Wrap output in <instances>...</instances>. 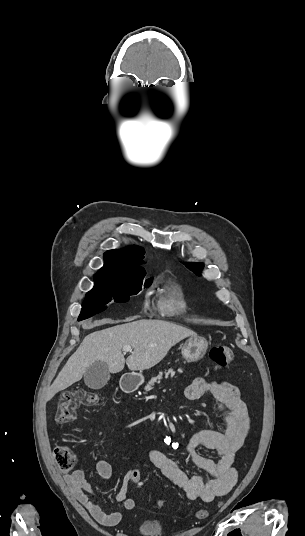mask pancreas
Masks as SVG:
<instances>
[{"label":"pancreas","instance_id":"pancreas-1","mask_svg":"<svg viewBox=\"0 0 305 536\" xmlns=\"http://www.w3.org/2000/svg\"><path fill=\"white\" fill-rule=\"evenodd\" d=\"M178 372H183V370H178ZM176 372H173V370H166V372H159L158 376H156V378H151L150 382H148V384H146L144 390H146V392H150V390H152V386H154V384H160V380H162L163 376L164 378H174Z\"/></svg>","mask_w":305,"mask_h":536}]
</instances>
